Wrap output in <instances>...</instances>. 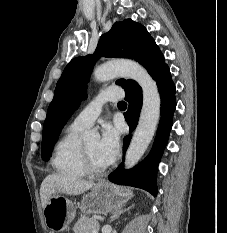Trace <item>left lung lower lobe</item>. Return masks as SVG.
<instances>
[{
	"mask_svg": "<svg viewBox=\"0 0 227 233\" xmlns=\"http://www.w3.org/2000/svg\"><path fill=\"white\" fill-rule=\"evenodd\" d=\"M155 81L161 97V119L153 147L149 155L136 167L130 170H125L122 163L108 176V179L115 184L142 188L153 196L157 195V166L167 144L169 132L172 127L173 113L176 108L175 85L171 79V73L168 66L157 75ZM125 100L129 103L125 118L130 126V131H133L137 126L142 107L141 88L126 92ZM131 137L132 135L126 136L123 139L124 153L129 145Z\"/></svg>",
	"mask_w": 227,
	"mask_h": 233,
	"instance_id": "obj_1",
	"label": "left lung lower lobe"
}]
</instances>
